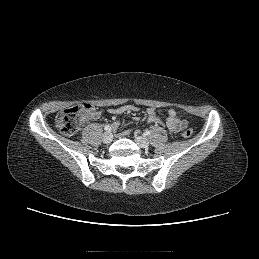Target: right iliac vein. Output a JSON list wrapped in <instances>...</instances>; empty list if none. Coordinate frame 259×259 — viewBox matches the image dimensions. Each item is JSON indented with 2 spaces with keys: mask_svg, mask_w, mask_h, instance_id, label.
<instances>
[{
  "mask_svg": "<svg viewBox=\"0 0 259 259\" xmlns=\"http://www.w3.org/2000/svg\"><path fill=\"white\" fill-rule=\"evenodd\" d=\"M103 142L104 143H106V144H109V143H111V141L113 140V135H112V133L111 132H105L104 134H103Z\"/></svg>",
  "mask_w": 259,
  "mask_h": 259,
  "instance_id": "63e3f726",
  "label": "right iliac vein"
}]
</instances>
